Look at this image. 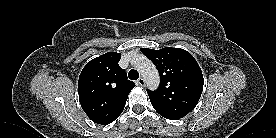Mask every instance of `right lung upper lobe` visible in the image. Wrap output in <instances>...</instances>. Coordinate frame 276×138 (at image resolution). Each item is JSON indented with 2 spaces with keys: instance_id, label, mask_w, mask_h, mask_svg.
I'll return each mask as SVG.
<instances>
[{
  "instance_id": "obj_1",
  "label": "right lung upper lobe",
  "mask_w": 276,
  "mask_h": 138,
  "mask_svg": "<svg viewBox=\"0 0 276 138\" xmlns=\"http://www.w3.org/2000/svg\"><path fill=\"white\" fill-rule=\"evenodd\" d=\"M121 54L108 52L92 59L83 68L78 81L79 101L95 123L113 122L123 111L135 84L118 65Z\"/></svg>"
}]
</instances>
